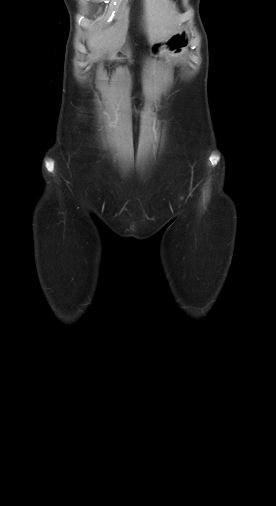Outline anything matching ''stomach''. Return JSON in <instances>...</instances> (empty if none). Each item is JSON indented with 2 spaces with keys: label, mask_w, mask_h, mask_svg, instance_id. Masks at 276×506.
Wrapping results in <instances>:
<instances>
[{
  "label": "stomach",
  "mask_w": 276,
  "mask_h": 506,
  "mask_svg": "<svg viewBox=\"0 0 276 506\" xmlns=\"http://www.w3.org/2000/svg\"><path fill=\"white\" fill-rule=\"evenodd\" d=\"M189 40L188 33L184 30H180L171 35L168 39L153 43L151 51L155 55L160 54L162 50L168 51L173 55H178L188 48Z\"/></svg>",
  "instance_id": "obj_1"
}]
</instances>
